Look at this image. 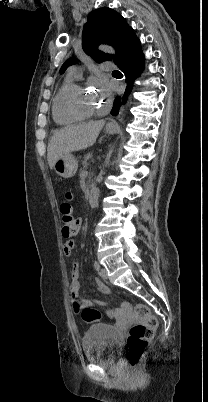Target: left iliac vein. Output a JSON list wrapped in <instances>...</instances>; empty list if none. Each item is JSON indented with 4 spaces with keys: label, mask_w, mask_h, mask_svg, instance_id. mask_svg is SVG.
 I'll return each mask as SVG.
<instances>
[{
    "label": "left iliac vein",
    "mask_w": 208,
    "mask_h": 402,
    "mask_svg": "<svg viewBox=\"0 0 208 402\" xmlns=\"http://www.w3.org/2000/svg\"><path fill=\"white\" fill-rule=\"evenodd\" d=\"M99 275H100V277L103 278V279H107V278H108L107 270H106L105 268H101Z\"/></svg>",
    "instance_id": "left-iliac-vein-1"
}]
</instances>
